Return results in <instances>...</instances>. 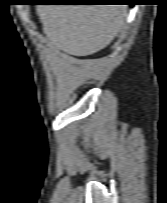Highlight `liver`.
<instances>
[{
    "label": "liver",
    "mask_w": 167,
    "mask_h": 203,
    "mask_svg": "<svg viewBox=\"0 0 167 203\" xmlns=\"http://www.w3.org/2000/svg\"><path fill=\"white\" fill-rule=\"evenodd\" d=\"M125 5H38L44 33L54 48L87 56L110 44L124 27Z\"/></svg>",
    "instance_id": "obj_1"
}]
</instances>
